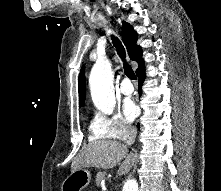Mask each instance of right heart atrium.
<instances>
[{"label": "right heart atrium", "instance_id": "1", "mask_svg": "<svg viewBox=\"0 0 221 191\" xmlns=\"http://www.w3.org/2000/svg\"><path fill=\"white\" fill-rule=\"evenodd\" d=\"M134 131L120 113L105 115L97 113L91 123L90 133L94 139L124 140Z\"/></svg>", "mask_w": 221, "mask_h": 191}]
</instances>
